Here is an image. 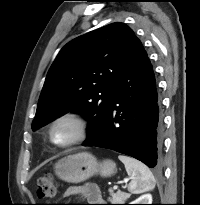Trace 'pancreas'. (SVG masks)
<instances>
[{
    "mask_svg": "<svg viewBox=\"0 0 200 205\" xmlns=\"http://www.w3.org/2000/svg\"><path fill=\"white\" fill-rule=\"evenodd\" d=\"M109 192H110L111 198H108V200L112 204H123L124 201L130 197V194L126 192L118 191L114 193L113 190L111 189L109 190Z\"/></svg>",
    "mask_w": 200,
    "mask_h": 205,
    "instance_id": "obj_1",
    "label": "pancreas"
}]
</instances>
